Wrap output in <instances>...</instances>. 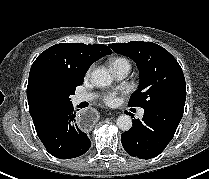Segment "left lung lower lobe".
Masks as SVG:
<instances>
[{
  "label": "left lung lower lobe",
  "mask_w": 209,
  "mask_h": 179,
  "mask_svg": "<svg viewBox=\"0 0 209 179\" xmlns=\"http://www.w3.org/2000/svg\"><path fill=\"white\" fill-rule=\"evenodd\" d=\"M183 111L182 105L144 108L142 120L134 119L133 127L121 135L123 148L129 155L140 159L156 157L172 140Z\"/></svg>",
  "instance_id": "1"
}]
</instances>
